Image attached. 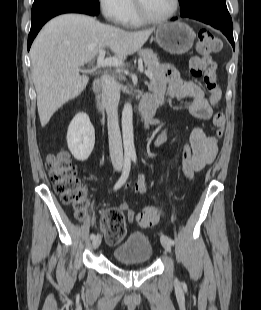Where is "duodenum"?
I'll return each mask as SVG.
<instances>
[{
  "label": "duodenum",
  "mask_w": 261,
  "mask_h": 310,
  "mask_svg": "<svg viewBox=\"0 0 261 310\" xmlns=\"http://www.w3.org/2000/svg\"><path fill=\"white\" fill-rule=\"evenodd\" d=\"M101 79L98 77L93 83V92L97 100L100 98ZM161 104V100L155 96L149 95L142 99L138 105V111L146 123L150 122L151 117L154 115L157 107Z\"/></svg>",
  "instance_id": "1"
}]
</instances>
